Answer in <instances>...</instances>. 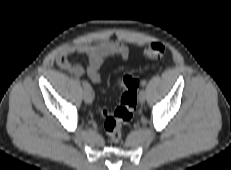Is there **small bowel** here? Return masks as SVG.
<instances>
[{
    "mask_svg": "<svg viewBox=\"0 0 231 170\" xmlns=\"http://www.w3.org/2000/svg\"><path fill=\"white\" fill-rule=\"evenodd\" d=\"M73 55L86 56L88 66L85 68L79 63H72L70 57ZM113 55L127 60L129 49L116 39H107L96 44L81 42L63 47L56 56V63L61 69L74 76L80 77L86 73L93 83L100 84L102 77L99 74V68L106 58Z\"/></svg>",
    "mask_w": 231,
    "mask_h": 170,
    "instance_id": "1",
    "label": "small bowel"
}]
</instances>
